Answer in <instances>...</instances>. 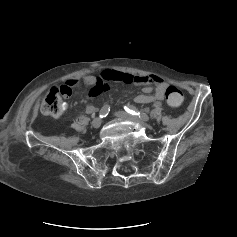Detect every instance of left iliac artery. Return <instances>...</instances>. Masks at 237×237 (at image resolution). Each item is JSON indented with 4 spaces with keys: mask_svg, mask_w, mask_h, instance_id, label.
Listing matches in <instances>:
<instances>
[{
    "mask_svg": "<svg viewBox=\"0 0 237 237\" xmlns=\"http://www.w3.org/2000/svg\"><path fill=\"white\" fill-rule=\"evenodd\" d=\"M161 105H162V103L159 102V101H157V102L154 103V107H161ZM124 109H125L128 113H130V114H132V115H138L139 118L141 117L140 112L137 110L136 107H134V106H132V105H127V106L124 107Z\"/></svg>",
    "mask_w": 237,
    "mask_h": 237,
    "instance_id": "44dca946",
    "label": "left iliac artery"
}]
</instances>
